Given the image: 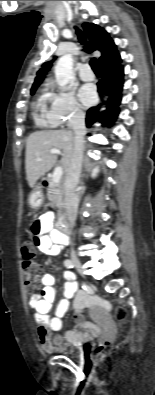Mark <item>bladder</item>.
Here are the masks:
<instances>
[{
    "label": "bladder",
    "instance_id": "1",
    "mask_svg": "<svg viewBox=\"0 0 155 395\" xmlns=\"http://www.w3.org/2000/svg\"><path fill=\"white\" fill-rule=\"evenodd\" d=\"M58 352L61 355H64V356H67L70 358H74V359H78L81 354V350L78 347L70 345V344H65V345L61 346L58 349Z\"/></svg>",
    "mask_w": 155,
    "mask_h": 395
}]
</instances>
